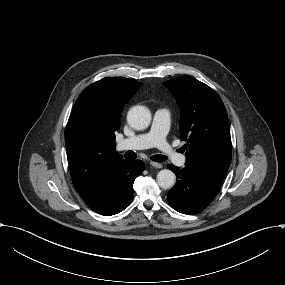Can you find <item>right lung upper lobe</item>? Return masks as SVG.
Segmentation results:
<instances>
[{
    "label": "right lung upper lobe",
    "instance_id": "right-lung-upper-lobe-1",
    "mask_svg": "<svg viewBox=\"0 0 285 285\" xmlns=\"http://www.w3.org/2000/svg\"><path fill=\"white\" fill-rule=\"evenodd\" d=\"M142 83L106 77L88 86L78 98L65 131L67 160L76 191L86 202L126 161L116 151L115 132L125 103Z\"/></svg>",
    "mask_w": 285,
    "mask_h": 285
}]
</instances>
